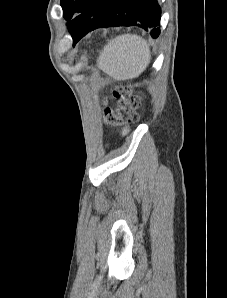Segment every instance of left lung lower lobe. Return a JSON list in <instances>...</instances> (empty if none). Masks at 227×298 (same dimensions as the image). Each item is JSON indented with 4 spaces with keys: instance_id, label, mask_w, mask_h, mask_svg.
Returning <instances> with one entry per match:
<instances>
[{
    "instance_id": "left-lung-lower-lobe-1",
    "label": "left lung lower lobe",
    "mask_w": 227,
    "mask_h": 298,
    "mask_svg": "<svg viewBox=\"0 0 227 298\" xmlns=\"http://www.w3.org/2000/svg\"><path fill=\"white\" fill-rule=\"evenodd\" d=\"M160 16L157 0H106L92 30L110 26H138L157 38L160 34ZM76 43L74 41L73 45Z\"/></svg>"
}]
</instances>
